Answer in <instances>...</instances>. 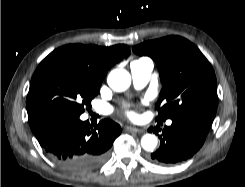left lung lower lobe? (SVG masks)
I'll use <instances>...</instances> for the list:
<instances>
[{
    "label": "left lung lower lobe",
    "instance_id": "left-lung-lower-lobe-1",
    "mask_svg": "<svg viewBox=\"0 0 245 187\" xmlns=\"http://www.w3.org/2000/svg\"><path fill=\"white\" fill-rule=\"evenodd\" d=\"M212 122L211 117L194 116L172 119L171 126H165L163 130L155 127L153 132L159 135L160 147L151 154V159L162 164L189 159L202 147Z\"/></svg>",
    "mask_w": 245,
    "mask_h": 187
}]
</instances>
